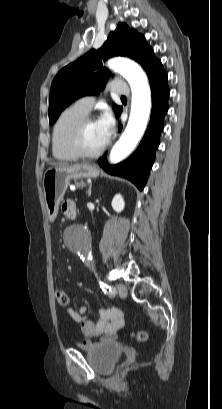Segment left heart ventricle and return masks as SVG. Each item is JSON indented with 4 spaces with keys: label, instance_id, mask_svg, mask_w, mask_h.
Segmentation results:
<instances>
[{
    "label": "left heart ventricle",
    "instance_id": "left-heart-ventricle-1",
    "mask_svg": "<svg viewBox=\"0 0 222 409\" xmlns=\"http://www.w3.org/2000/svg\"><path fill=\"white\" fill-rule=\"evenodd\" d=\"M82 145L88 152H94L104 145L100 129L95 121L86 126L82 135Z\"/></svg>",
    "mask_w": 222,
    "mask_h": 409
}]
</instances>
